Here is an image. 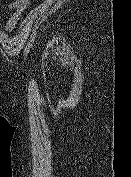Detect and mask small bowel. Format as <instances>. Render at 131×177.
I'll use <instances>...</instances> for the list:
<instances>
[{
  "mask_svg": "<svg viewBox=\"0 0 131 177\" xmlns=\"http://www.w3.org/2000/svg\"><path fill=\"white\" fill-rule=\"evenodd\" d=\"M30 2L31 0H12L9 7L14 8L15 11L2 27L7 31L13 29Z\"/></svg>",
  "mask_w": 131,
  "mask_h": 177,
  "instance_id": "small-bowel-1",
  "label": "small bowel"
}]
</instances>
